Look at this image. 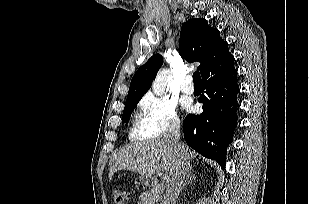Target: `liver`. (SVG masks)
<instances>
[{
	"label": "liver",
	"mask_w": 309,
	"mask_h": 204,
	"mask_svg": "<svg viewBox=\"0 0 309 204\" xmlns=\"http://www.w3.org/2000/svg\"><path fill=\"white\" fill-rule=\"evenodd\" d=\"M184 148L189 160L197 156V153L188 146L184 145ZM176 165V152L166 138L135 142L123 147L114 157L109 170V179H112L115 171L121 169L148 177L160 170L172 175Z\"/></svg>",
	"instance_id": "1"
}]
</instances>
